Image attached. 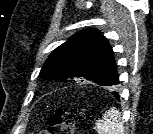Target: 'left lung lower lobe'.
<instances>
[{"label":"left lung lower lobe","instance_id":"1","mask_svg":"<svg viewBox=\"0 0 153 134\" xmlns=\"http://www.w3.org/2000/svg\"><path fill=\"white\" fill-rule=\"evenodd\" d=\"M112 94L115 96L116 99L119 100V94L118 93H116L115 91H113Z\"/></svg>","mask_w":153,"mask_h":134}]
</instances>
